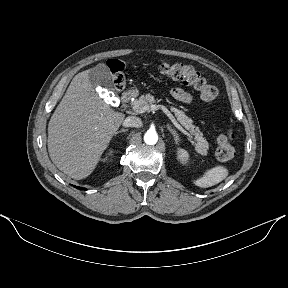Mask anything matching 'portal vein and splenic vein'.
<instances>
[{
  "instance_id": "18ae733b",
  "label": "portal vein and splenic vein",
  "mask_w": 288,
  "mask_h": 288,
  "mask_svg": "<svg viewBox=\"0 0 288 288\" xmlns=\"http://www.w3.org/2000/svg\"><path fill=\"white\" fill-rule=\"evenodd\" d=\"M132 109L137 113H144V112L148 111L149 109H151V110L161 109L169 117V119L172 121V123L174 124V126L178 130H180L186 136L192 138V136L186 130H184L182 128V126L175 120L174 116L170 113V111L164 105L151 104L150 106H144V107H139L137 105H133Z\"/></svg>"
}]
</instances>
